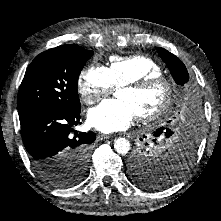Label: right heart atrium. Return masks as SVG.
I'll return each instance as SVG.
<instances>
[{
    "mask_svg": "<svg viewBox=\"0 0 221 221\" xmlns=\"http://www.w3.org/2000/svg\"><path fill=\"white\" fill-rule=\"evenodd\" d=\"M114 87L109 71L104 66H91L79 76L78 91L86 104H92L111 93Z\"/></svg>",
    "mask_w": 221,
    "mask_h": 221,
    "instance_id": "d8ad5b80",
    "label": "right heart atrium"
}]
</instances>
